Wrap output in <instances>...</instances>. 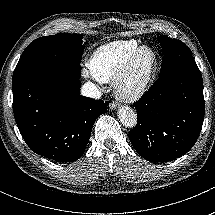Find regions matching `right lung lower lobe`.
Masks as SVG:
<instances>
[{
  "instance_id": "1",
  "label": "right lung lower lobe",
  "mask_w": 215,
  "mask_h": 215,
  "mask_svg": "<svg viewBox=\"0 0 215 215\" xmlns=\"http://www.w3.org/2000/svg\"><path fill=\"white\" fill-rule=\"evenodd\" d=\"M79 78L42 73L13 83V112L19 131L35 153L55 162L84 153L93 124L108 102L80 95Z\"/></svg>"
}]
</instances>
